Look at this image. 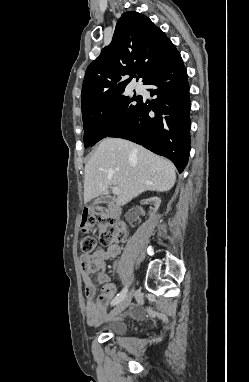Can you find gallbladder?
<instances>
[{
	"label": "gallbladder",
	"mask_w": 249,
	"mask_h": 382,
	"mask_svg": "<svg viewBox=\"0 0 249 382\" xmlns=\"http://www.w3.org/2000/svg\"><path fill=\"white\" fill-rule=\"evenodd\" d=\"M110 202H111V199L109 197H100L94 201V205L105 204Z\"/></svg>",
	"instance_id": "gallbladder-1"
}]
</instances>
